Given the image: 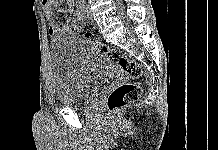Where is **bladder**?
Masks as SVG:
<instances>
[{"instance_id": "bladder-1", "label": "bladder", "mask_w": 218, "mask_h": 150, "mask_svg": "<svg viewBox=\"0 0 218 150\" xmlns=\"http://www.w3.org/2000/svg\"><path fill=\"white\" fill-rule=\"evenodd\" d=\"M52 56L57 67L55 99L62 107H86L99 82L114 70L96 49L66 35L54 38Z\"/></svg>"}]
</instances>
